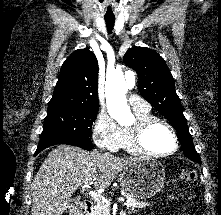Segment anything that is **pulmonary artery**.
<instances>
[{
  "instance_id": "1",
  "label": "pulmonary artery",
  "mask_w": 221,
  "mask_h": 215,
  "mask_svg": "<svg viewBox=\"0 0 221 215\" xmlns=\"http://www.w3.org/2000/svg\"><path fill=\"white\" fill-rule=\"evenodd\" d=\"M128 101L133 111H146L150 109L148 102L138 95H130Z\"/></svg>"
}]
</instances>
